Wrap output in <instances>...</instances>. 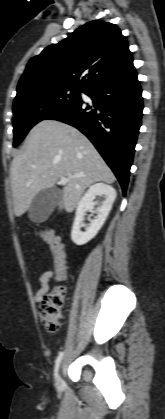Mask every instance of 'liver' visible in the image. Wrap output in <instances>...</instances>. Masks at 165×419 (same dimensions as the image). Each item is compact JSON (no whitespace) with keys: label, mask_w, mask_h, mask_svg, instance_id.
<instances>
[{"label":"liver","mask_w":165,"mask_h":419,"mask_svg":"<svg viewBox=\"0 0 165 419\" xmlns=\"http://www.w3.org/2000/svg\"><path fill=\"white\" fill-rule=\"evenodd\" d=\"M62 177L69 179L59 209L67 212L75 209L91 184L115 181L113 172L86 136L68 124L43 120L30 130L22 152L11 164L15 215L24 214L41 190L52 188Z\"/></svg>","instance_id":"6515ba94"}]
</instances>
